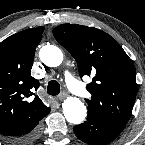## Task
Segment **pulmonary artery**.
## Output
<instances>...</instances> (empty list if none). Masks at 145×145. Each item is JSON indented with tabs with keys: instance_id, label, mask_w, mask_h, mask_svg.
<instances>
[{
	"instance_id": "pulmonary-artery-1",
	"label": "pulmonary artery",
	"mask_w": 145,
	"mask_h": 145,
	"mask_svg": "<svg viewBox=\"0 0 145 145\" xmlns=\"http://www.w3.org/2000/svg\"><path fill=\"white\" fill-rule=\"evenodd\" d=\"M65 80L73 94L81 98H84L87 95L85 86L76 80L71 74H65Z\"/></svg>"
}]
</instances>
